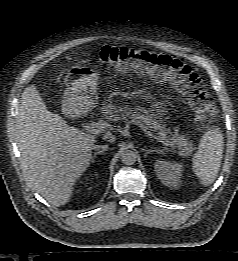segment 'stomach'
<instances>
[{
    "mask_svg": "<svg viewBox=\"0 0 238 261\" xmlns=\"http://www.w3.org/2000/svg\"><path fill=\"white\" fill-rule=\"evenodd\" d=\"M98 73L87 67H72L65 77L63 106L73 114L86 113L97 104Z\"/></svg>",
    "mask_w": 238,
    "mask_h": 261,
    "instance_id": "0dacf381",
    "label": "stomach"
}]
</instances>
